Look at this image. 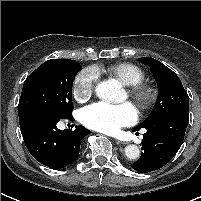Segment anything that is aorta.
Instances as JSON below:
<instances>
[{"label":"aorta","instance_id":"1","mask_svg":"<svg viewBox=\"0 0 201 201\" xmlns=\"http://www.w3.org/2000/svg\"><path fill=\"white\" fill-rule=\"evenodd\" d=\"M121 87L116 81H102L96 86V94L98 98L105 101H115ZM125 155L130 160H136L140 156V149L137 145L130 144L124 149Z\"/></svg>","mask_w":201,"mask_h":201}]
</instances>
